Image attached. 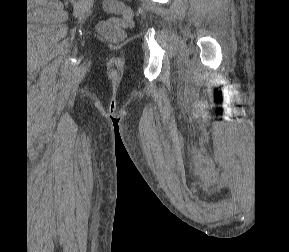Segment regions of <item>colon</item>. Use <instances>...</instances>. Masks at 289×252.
I'll return each mask as SVG.
<instances>
[{
	"label": "colon",
	"instance_id": "1",
	"mask_svg": "<svg viewBox=\"0 0 289 252\" xmlns=\"http://www.w3.org/2000/svg\"><path fill=\"white\" fill-rule=\"evenodd\" d=\"M104 8L107 12L119 15L102 21L99 32L112 41H120L124 37L123 28L128 27L133 19V11L120 0H105Z\"/></svg>",
	"mask_w": 289,
	"mask_h": 252
}]
</instances>
